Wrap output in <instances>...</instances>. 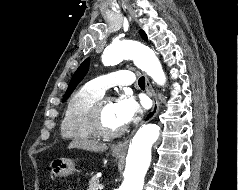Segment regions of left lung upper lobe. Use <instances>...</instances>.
<instances>
[{
  "label": "left lung upper lobe",
  "instance_id": "obj_1",
  "mask_svg": "<svg viewBox=\"0 0 238 190\" xmlns=\"http://www.w3.org/2000/svg\"><path fill=\"white\" fill-rule=\"evenodd\" d=\"M140 35L142 36V38L144 40H147V36L145 34V32L143 30L140 31ZM89 58H87L80 66L79 68L76 70V72L74 73L68 89L64 95L63 101H65L69 95L73 92V90L76 88V86L78 85V83L82 80V78L86 75L88 69H89Z\"/></svg>",
  "mask_w": 238,
  "mask_h": 190
}]
</instances>
